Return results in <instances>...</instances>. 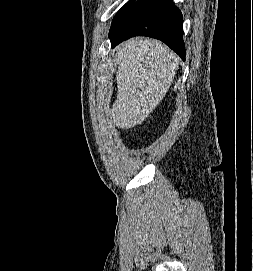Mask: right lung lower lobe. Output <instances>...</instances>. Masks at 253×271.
Instances as JSON below:
<instances>
[{
	"label": "right lung lower lobe",
	"mask_w": 253,
	"mask_h": 271,
	"mask_svg": "<svg viewBox=\"0 0 253 271\" xmlns=\"http://www.w3.org/2000/svg\"><path fill=\"white\" fill-rule=\"evenodd\" d=\"M134 36L161 40L185 60L183 17L172 0H138L109 33L112 47Z\"/></svg>",
	"instance_id": "obj_1"
}]
</instances>
